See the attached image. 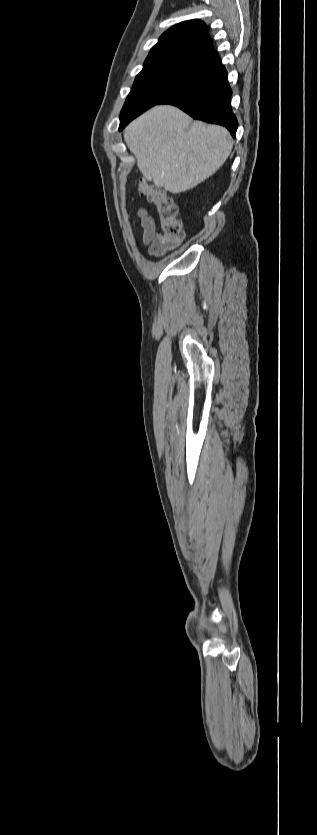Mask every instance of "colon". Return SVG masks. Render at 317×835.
<instances>
[{
    "label": "colon",
    "mask_w": 317,
    "mask_h": 835,
    "mask_svg": "<svg viewBox=\"0 0 317 835\" xmlns=\"http://www.w3.org/2000/svg\"><path fill=\"white\" fill-rule=\"evenodd\" d=\"M138 193L156 207L162 229L160 248L163 251L176 248L184 237L177 204L164 190L144 180L138 184Z\"/></svg>",
    "instance_id": "colon-1"
}]
</instances>
